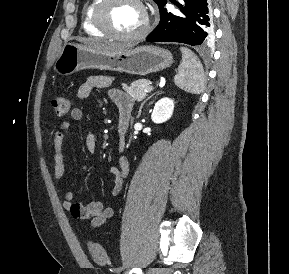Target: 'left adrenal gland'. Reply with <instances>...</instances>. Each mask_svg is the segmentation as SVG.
Wrapping results in <instances>:
<instances>
[{"mask_svg": "<svg viewBox=\"0 0 289 274\" xmlns=\"http://www.w3.org/2000/svg\"><path fill=\"white\" fill-rule=\"evenodd\" d=\"M154 95H155V93L152 94L151 96H149V97L141 104V106H140V108H139V112H138V117L141 115V111H142V108H143L144 104H145L150 98H152Z\"/></svg>", "mask_w": 289, "mask_h": 274, "instance_id": "a2214340", "label": "left adrenal gland"}]
</instances>
